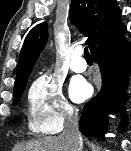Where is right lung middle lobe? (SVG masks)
I'll return each instance as SVG.
<instances>
[{
	"label": "right lung middle lobe",
	"instance_id": "obj_1",
	"mask_svg": "<svg viewBox=\"0 0 131 151\" xmlns=\"http://www.w3.org/2000/svg\"><path fill=\"white\" fill-rule=\"evenodd\" d=\"M26 85H24L23 87H20L17 90H14V104H17L22 96V93L24 92Z\"/></svg>",
	"mask_w": 131,
	"mask_h": 151
}]
</instances>
